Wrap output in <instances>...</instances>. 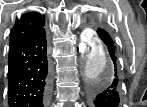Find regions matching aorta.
<instances>
[{"label":"aorta","instance_id":"obj_1","mask_svg":"<svg viewBox=\"0 0 147 107\" xmlns=\"http://www.w3.org/2000/svg\"><path fill=\"white\" fill-rule=\"evenodd\" d=\"M79 51L84 60V74L89 83L105 82L112 77V61L105 46L93 32H84Z\"/></svg>","mask_w":147,"mask_h":107}]
</instances>
